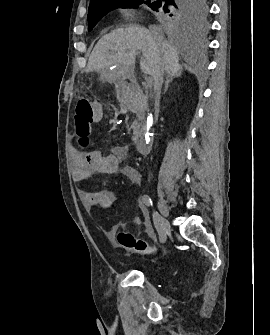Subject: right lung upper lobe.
<instances>
[{
  "mask_svg": "<svg viewBox=\"0 0 270 335\" xmlns=\"http://www.w3.org/2000/svg\"><path fill=\"white\" fill-rule=\"evenodd\" d=\"M119 0H91L89 7H96L103 4L117 2Z\"/></svg>",
  "mask_w": 270,
  "mask_h": 335,
  "instance_id": "1",
  "label": "right lung upper lobe"
}]
</instances>
